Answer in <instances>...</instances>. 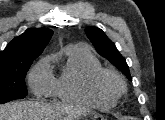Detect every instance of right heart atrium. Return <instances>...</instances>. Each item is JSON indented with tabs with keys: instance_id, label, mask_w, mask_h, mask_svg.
Instances as JSON below:
<instances>
[{
	"instance_id": "obj_1",
	"label": "right heart atrium",
	"mask_w": 165,
	"mask_h": 120,
	"mask_svg": "<svg viewBox=\"0 0 165 120\" xmlns=\"http://www.w3.org/2000/svg\"><path fill=\"white\" fill-rule=\"evenodd\" d=\"M29 85L37 95H48L52 92L53 77L49 72L48 61L41 60L29 74Z\"/></svg>"
}]
</instances>
